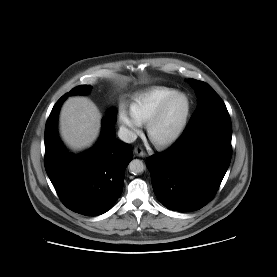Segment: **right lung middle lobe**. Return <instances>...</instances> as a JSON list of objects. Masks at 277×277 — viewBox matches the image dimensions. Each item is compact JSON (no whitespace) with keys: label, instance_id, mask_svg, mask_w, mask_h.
I'll return each instance as SVG.
<instances>
[{"label":"right lung middle lobe","instance_id":"right-lung-middle-lobe-1","mask_svg":"<svg viewBox=\"0 0 277 277\" xmlns=\"http://www.w3.org/2000/svg\"><path fill=\"white\" fill-rule=\"evenodd\" d=\"M92 86L90 85H81L77 86L74 89H72L70 92L62 96L61 98L65 100L69 95H75V94H87L91 90ZM117 117V113L115 110H112L108 113V117L111 121H115Z\"/></svg>","mask_w":277,"mask_h":277}]
</instances>
